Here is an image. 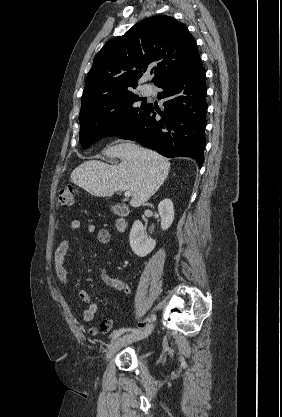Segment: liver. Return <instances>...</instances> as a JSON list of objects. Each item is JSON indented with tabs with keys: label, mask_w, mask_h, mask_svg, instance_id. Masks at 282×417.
<instances>
[{
	"label": "liver",
	"mask_w": 282,
	"mask_h": 417,
	"mask_svg": "<svg viewBox=\"0 0 282 417\" xmlns=\"http://www.w3.org/2000/svg\"><path fill=\"white\" fill-rule=\"evenodd\" d=\"M107 156L119 164L85 160L70 174L71 182L94 196H112L117 190H131V206H141L157 192L170 170L169 158L133 142L109 146Z\"/></svg>",
	"instance_id": "liver-1"
}]
</instances>
